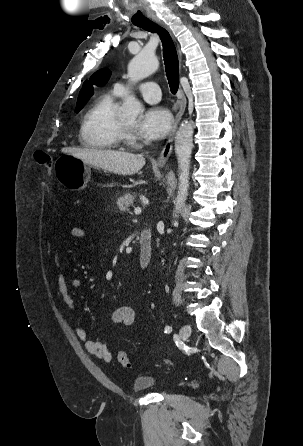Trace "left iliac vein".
I'll use <instances>...</instances> for the list:
<instances>
[{"instance_id":"1","label":"left iliac vein","mask_w":303,"mask_h":446,"mask_svg":"<svg viewBox=\"0 0 303 446\" xmlns=\"http://www.w3.org/2000/svg\"><path fill=\"white\" fill-rule=\"evenodd\" d=\"M191 334V327L189 325H183L179 331V337L182 341H185L189 338Z\"/></svg>"}]
</instances>
